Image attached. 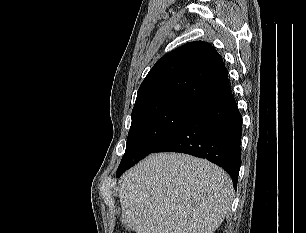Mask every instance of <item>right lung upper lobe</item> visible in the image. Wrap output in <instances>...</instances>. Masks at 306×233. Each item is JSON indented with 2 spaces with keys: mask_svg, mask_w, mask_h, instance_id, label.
<instances>
[{
  "mask_svg": "<svg viewBox=\"0 0 306 233\" xmlns=\"http://www.w3.org/2000/svg\"><path fill=\"white\" fill-rule=\"evenodd\" d=\"M230 91L222 57L211 44L195 41L154 65L139 87L133 110L164 98H183L204 106Z\"/></svg>",
  "mask_w": 306,
  "mask_h": 233,
  "instance_id": "cb5924a9",
  "label": "right lung upper lobe"
}]
</instances>
